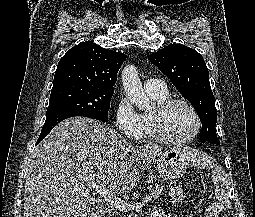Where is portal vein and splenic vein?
<instances>
[{
    "mask_svg": "<svg viewBox=\"0 0 255 217\" xmlns=\"http://www.w3.org/2000/svg\"><path fill=\"white\" fill-rule=\"evenodd\" d=\"M86 185L90 188L95 189V191L104 198L111 206L118 209L122 212H128L131 209L134 208H140L146 205L150 198L146 197L141 202L136 203L135 205H130L129 203L125 202L124 200H121L119 197L114 195L105 185L104 182H99V184H96L93 180H86Z\"/></svg>",
    "mask_w": 255,
    "mask_h": 217,
    "instance_id": "portal-vein-and-splenic-vein-1",
    "label": "portal vein and splenic vein"
}]
</instances>
